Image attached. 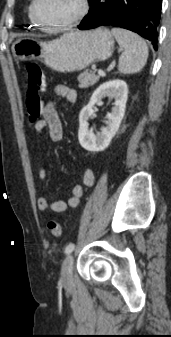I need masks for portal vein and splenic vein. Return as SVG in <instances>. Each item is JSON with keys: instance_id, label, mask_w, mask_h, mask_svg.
Instances as JSON below:
<instances>
[{"instance_id": "obj_1", "label": "portal vein and splenic vein", "mask_w": 171, "mask_h": 337, "mask_svg": "<svg viewBox=\"0 0 171 337\" xmlns=\"http://www.w3.org/2000/svg\"><path fill=\"white\" fill-rule=\"evenodd\" d=\"M98 74H99L100 76H105V73H104V71H103V70H101V69H99V70H98Z\"/></svg>"}]
</instances>
